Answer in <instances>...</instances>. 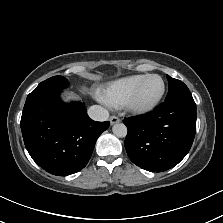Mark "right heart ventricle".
<instances>
[{"label": "right heart ventricle", "instance_id": "e07e8e85", "mask_svg": "<svg viewBox=\"0 0 223 223\" xmlns=\"http://www.w3.org/2000/svg\"><path fill=\"white\" fill-rule=\"evenodd\" d=\"M143 76L144 74L129 75L112 82L102 90L103 101L113 108L122 107Z\"/></svg>", "mask_w": 223, "mask_h": 223}]
</instances>
